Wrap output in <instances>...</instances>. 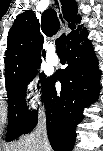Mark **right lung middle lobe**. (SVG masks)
Segmentation results:
<instances>
[{
    "label": "right lung middle lobe",
    "instance_id": "1",
    "mask_svg": "<svg viewBox=\"0 0 103 151\" xmlns=\"http://www.w3.org/2000/svg\"><path fill=\"white\" fill-rule=\"evenodd\" d=\"M41 64V63H40ZM36 64L23 72L7 89L8 98V127L6 141L10 142L24 134L32 121L37 116V112H29L25 103L26 85L36 76V70L40 67ZM42 99L51 81L41 73Z\"/></svg>",
    "mask_w": 103,
    "mask_h": 151
}]
</instances>
